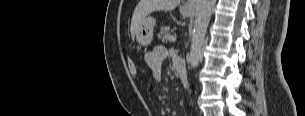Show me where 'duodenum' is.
I'll return each mask as SVG.
<instances>
[{"instance_id": "obj_1", "label": "duodenum", "mask_w": 305, "mask_h": 116, "mask_svg": "<svg viewBox=\"0 0 305 116\" xmlns=\"http://www.w3.org/2000/svg\"><path fill=\"white\" fill-rule=\"evenodd\" d=\"M175 66L179 74V78L183 88H186L188 85V74L186 64L183 60L178 59L175 61Z\"/></svg>"}]
</instances>
